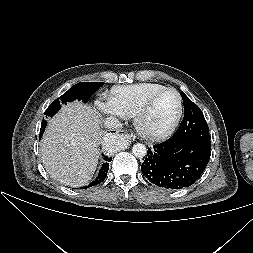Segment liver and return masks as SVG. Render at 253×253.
<instances>
[{
  "mask_svg": "<svg viewBox=\"0 0 253 253\" xmlns=\"http://www.w3.org/2000/svg\"><path fill=\"white\" fill-rule=\"evenodd\" d=\"M100 123L96 109L78 101L63 105L48 121L40 150L52 178L71 187L91 180L99 158Z\"/></svg>",
  "mask_w": 253,
  "mask_h": 253,
  "instance_id": "6515ba94",
  "label": "liver"
}]
</instances>
